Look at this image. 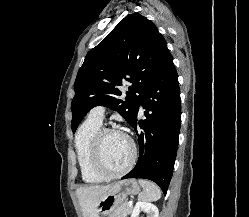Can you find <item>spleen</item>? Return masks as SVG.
Here are the masks:
<instances>
[{
    "label": "spleen",
    "mask_w": 249,
    "mask_h": 217,
    "mask_svg": "<svg viewBox=\"0 0 249 217\" xmlns=\"http://www.w3.org/2000/svg\"><path fill=\"white\" fill-rule=\"evenodd\" d=\"M139 184L143 187V192L138 195L142 201H156L161 198L160 188L153 182L139 179Z\"/></svg>",
    "instance_id": "3e777b00"
}]
</instances>
